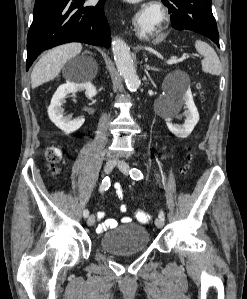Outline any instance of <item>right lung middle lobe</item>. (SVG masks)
<instances>
[{"label": "right lung middle lobe", "instance_id": "right-lung-middle-lobe-1", "mask_svg": "<svg viewBox=\"0 0 247 299\" xmlns=\"http://www.w3.org/2000/svg\"><path fill=\"white\" fill-rule=\"evenodd\" d=\"M40 1H42V0H36V2H40Z\"/></svg>", "mask_w": 247, "mask_h": 299}]
</instances>
